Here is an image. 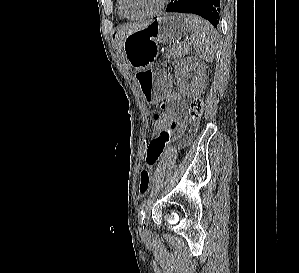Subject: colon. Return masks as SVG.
Here are the masks:
<instances>
[{
  "mask_svg": "<svg viewBox=\"0 0 299 273\" xmlns=\"http://www.w3.org/2000/svg\"><path fill=\"white\" fill-rule=\"evenodd\" d=\"M203 110V103L200 98L193 99L188 107V115L192 123H197L201 116ZM172 120V114L168 110H163L156 112L153 115V125H152V136L158 135L163 132L170 124ZM152 181V174L149 170H143L139 176L138 182V194L145 195L148 193Z\"/></svg>",
  "mask_w": 299,
  "mask_h": 273,
  "instance_id": "5ec220e1",
  "label": "colon"
}]
</instances>
